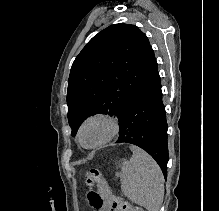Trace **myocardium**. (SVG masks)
Instances as JSON below:
<instances>
[{
  "instance_id": "f54148a6",
  "label": "myocardium",
  "mask_w": 219,
  "mask_h": 211,
  "mask_svg": "<svg viewBox=\"0 0 219 211\" xmlns=\"http://www.w3.org/2000/svg\"><path fill=\"white\" fill-rule=\"evenodd\" d=\"M92 121H102L107 126L105 136L95 145L87 146L82 142V132L84 127ZM120 124L116 115L107 112H97L86 117L78 129V141L80 145L86 149H98L111 141L119 133Z\"/></svg>"
}]
</instances>
